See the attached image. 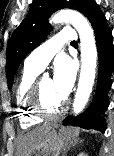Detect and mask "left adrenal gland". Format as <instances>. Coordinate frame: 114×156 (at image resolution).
Here are the masks:
<instances>
[{
  "instance_id": "a2214340",
  "label": "left adrenal gland",
  "mask_w": 114,
  "mask_h": 156,
  "mask_svg": "<svg viewBox=\"0 0 114 156\" xmlns=\"http://www.w3.org/2000/svg\"><path fill=\"white\" fill-rule=\"evenodd\" d=\"M82 142V140L78 141V140H75L74 142L70 143L69 145H67V150L66 152H68L70 150L71 147H74L77 143H80ZM63 156H66V154H64Z\"/></svg>"
}]
</instances>
